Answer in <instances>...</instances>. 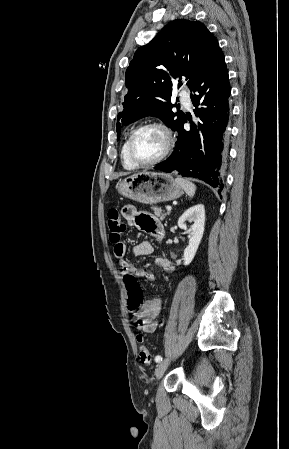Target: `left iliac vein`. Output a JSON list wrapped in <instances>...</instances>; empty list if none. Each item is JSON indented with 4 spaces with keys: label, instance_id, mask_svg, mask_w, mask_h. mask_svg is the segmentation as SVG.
Returning a JSON list of instances; mask_svg holds the SVG:
<instances>
[{
    "label": "left iliac vein",
    "instance_id": "1",
    "mask_svg": "<svg viewBox=\"0 0 289 449\" xmlns=\"http://www.w3.org/2000/svg\"><path fill=\"white\" fill-rule=\"evenodd\" d=\"M169 364H170V360L165 359L157 365V367L155 369L156 380H159L163 376V374L166 371V369L168 368Z\"/></svg>",
    "mask_w": 289,
    "mask_h": 449
}]
</instances>
